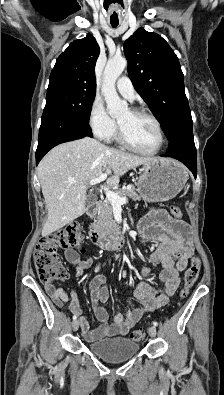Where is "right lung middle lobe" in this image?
Listing matches in <instances>:
<instances>
[{"label": "right lung middle lobe", "instance_id": "obj_1", "mask_svg": "<svg viewBox=\"0 0 224 395\" xmlns=\"http://www.w3.org/2000/svg\"><path fill=\"white\" fill-rule=\"evenodd\" d=\"M95 94V87L65 79H50L45 109L58 111L88 124Z\"/></svg>", "mask_w": 224, "mask_h": 395}]
</instances>
